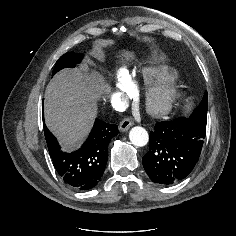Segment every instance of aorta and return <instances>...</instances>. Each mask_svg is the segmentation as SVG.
Instances as JSON below:
<instances>
[{"instance_id": "1", "label": "aorta", "mask_w": 236, "mask_h": 236, "mask_svg": "<svg viewBox=\"0 0 236 236\" xmlns=\"http://www.w3.org/2000/svg\"><path fill=\"white\" fill-rule=\"evenodd\" d=\"M129 138L133 145L143 147L148 143V132L140 126L133 127L129 132Z\"/></svg>"}]
</instances>
